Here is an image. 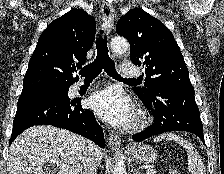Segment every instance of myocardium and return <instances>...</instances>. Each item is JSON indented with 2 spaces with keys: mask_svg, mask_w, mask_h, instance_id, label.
<instances>
[{
  "mask_svg": "<svg viewBox=\"0 0 224 174\" xmlns=\"http://www.w3.org/2000/svg\"><path fill=\"white\" fill-rule=\"evenodd\" d=\"M147 117L144 114H139L136 116L129 129L131 131H137L144 128L147 124Z\"/></svg>",
  "mask_w": 224,
  "mask_h": 174,
  "instance_id": "1",
  "label": "myocardium"
}]
</instances>
